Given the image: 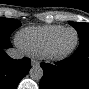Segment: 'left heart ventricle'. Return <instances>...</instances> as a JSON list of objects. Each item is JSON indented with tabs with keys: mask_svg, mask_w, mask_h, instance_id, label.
<instances>
[{
	"mask_svg": "<svg viewBox=\"0 0 89 89\" xmlns=\"http://www.w3.org/2000/svg\"><path fill=\"white\" fill-rule=\"evenodd\" d=\"M75 40V34L72 31L63 32L52 45V51L60 53L71 47Z\"/></svg>",
	"mask_w": 89,
	"mask_h": 89,
	"instance_id": "1",
	"label": "left heart ventricle"
}]
</instances>
